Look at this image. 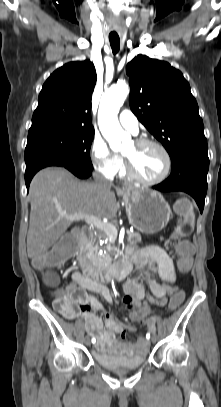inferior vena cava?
<instances>
[{"instance_id":"obj_1","label":"inferior vena cava","mask_w":221,"mask_h":407,"mask_svg":"<svg viewBox=\"0 0 221 407\" xmlns=\"http://www.w3.org/2000/svg\"><path fill=\"white\" fill-rule=\"evenodd\" d=\"M94 181L97 184L110 185L111 183L99 173L94 174Z\"/></svg>"}]
</instances>
